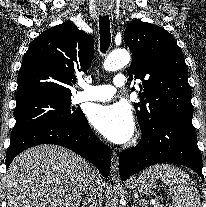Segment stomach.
Listing matches in <instances>:
<instances>
[{"label":"stomach","instance_id":"obj_1","mask_svg":"<svg viewBox=\"0 0 206 207\" xmlns=\"http://www.w3.org/2000/svg\"><path fill=\"white\" fill-rule=\"evenodd\" d=\"M128 185L133 192L145 196H152L156 191L155 182L150 178L142 176L131 179Z\"/></svg>","mask_w":206,"mask_h":207}]
</instances>
